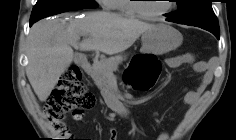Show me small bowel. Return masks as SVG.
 I'll return each mask as SVG.
<instances>
[{
    "label": "small bowel",
    "instance_id": "1",
    "mask_svg": "<svg viewBox=\"0 0 236 140\" xmlns=\"http://www.w3.org/2000/svg\"><path fill=\"white\" fill-rule=\"evenodd\" d=\"M165 63L170 68H178L185 64H191L196 72H203V76L195 90L188 91L184 96V104L189 110H192L199 101L200 96L206 90L212 80V73L207 70V64L204 61H197L192 53H185L173 57H169L165 60ZM69 136L70 133L66 132ZM167 133H161L156 140H168ZM111 140H116V134L111 132Z\"/></svg>",
    "mask_w": 236,
    "mask_h": 140
}]
</instances>
